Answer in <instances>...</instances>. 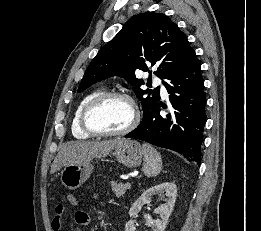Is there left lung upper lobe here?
Masks as SVG:
<instances>
[{
	"label": "left lung upper lobe",
	"mask_w": 261,
	"mask_h": 231,
	"mask_svg": "<svg viewBox=\"0 0 261 231\" xmlns=\"http://www.w3.org/2000/svg\"><path fill=\"white\" fill-rule=\"evenodd\" d=\"M195 56L185 34L167 16L162 13H141L131 17L98 52L89 64L78 92L118 75L133 86L145 113L158 103L160 89L158 87L154 92L142 90L140 86L144 81L136 78L135 71H148V66L156 65L158 68L154 74L168 79L185 68Z\"/></svg>",
	"instance_id": "5c2ea615"
}]
</instances>
